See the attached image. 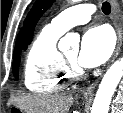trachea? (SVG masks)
I'll list each match as a JSON object with an SVG mask.
<instances>
[{
    "instance_id": "trachea-1",
    "label": "trachea",
    "mask_w": 123,
    "mask_h": 113,
    "mask_svg": "<svg viewBox=\"0 0 123 113\" xmlns=\"http://www.w3.org/2000/svg\"><path fill=\"white\" fill-rule=\"evenodd\" d=\"M102 11L106 15L110 14V12H111V6H110V4L108 2H104L102 4Z\"/></svg>"
}]
</instances>
